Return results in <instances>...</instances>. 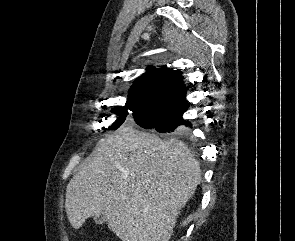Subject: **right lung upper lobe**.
I'll return each mask as SVG.
<instances>
[{"label":"right lung upper lobe","instance_id":"cb5924a9","mask_svg":"<svg viewBox=\"0 0 295 241\" xmlns=\"http://www.w3.org/2000/svg\"><path fill=\"white\" fill-rule=\"evenodd\" d=\"M126 103L167 116L184 109L189 103L181 72L148 67L129 90Z\"/></svg>","mask_w":295,"mask_h":241}]
</instances>
